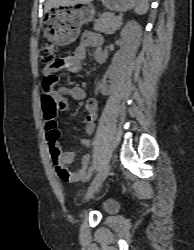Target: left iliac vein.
Returning a JSON list of instances; mask_svg holds the SVG:
<instances>
[{
    "label": "left iliac vein",
    "mask_w": 194,
    "mask_h": 250,
    "mask_svg": "<svg viewBox=\"0 0 194 250\" xmlns=\"http://www.w3.org/2000/svg\"><path fill=\"white\" fill-rule=\"evenodd\" d=\"M110 170V163H105L102 168L99 170L94 180L92 181L88 191L86 193V198L89 199L92 195L99 189L105 178L107 177Z\"/></svg>",
    "instance_id": "1"
}]
</instances>
